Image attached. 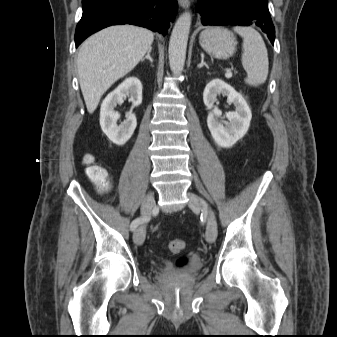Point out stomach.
Segmentation results:
<instances>
[{
	"mask_svg": "<svg viewBox=\"0 0 337 337\" xmlns=\"http://www.w3.org/2000/svg\"><path fill=\"white\" fill-rule=\"evenodd\" d=\"M201 47L217 59H228L236 51L237 41L233 33L223 27H209L199 37Z\"/></svg>",
	"mask_w": 337,
	"mask_h": 337,
	"instance_id": "1",
	"label": "stomach"
}]
</instances>
